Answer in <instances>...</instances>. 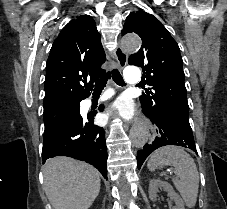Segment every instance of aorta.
<instances>
[{"label":"aorta","instance_id":"762f6f07","mask_svg":"<svg viewBox=\"0 0 227 209\" xmlns=\"http://www.w3.org/2000/svg\"><path fill=\"white\" fill-rule=\"evenodd\" d=\"M141 40L137 35H128L122 39V47L125 51L134 52L139 49ZM148 139V130L145 126L135 127L131 132V140L135 147L140 148L145 145Z\"/></svg>","mask_w":227,"mask_h":209}]
</instances>
